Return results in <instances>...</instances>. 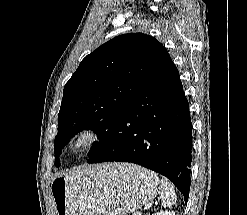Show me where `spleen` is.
Listing matches in <instances>:
<instances>
[{"instance_id":"spleen-1","label":"spleen","mask_w":247,"mask_h":215,"mask_svg":"<svg viewBox=\"0 0 247 215\" xmlns=\"http://www.w3.org/2000/svg\"><path fill=\"white\" fill-rule=\"evenodd\" d=\"M159 195L161 198L162 205L164 207L172 206L176 202L177 196L174 186L167 178L161 179Z\"/></svg>"}]
</instances>
